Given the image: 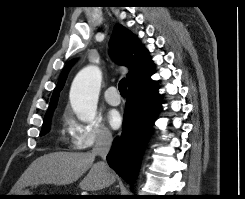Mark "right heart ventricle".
Instances as JSON below:
<instances>
[{
  "instance_id": "right-heart-ventricle-1",
  "label": "right heart ventricle",
  "mask_w": 245,
  "mask_h": 199,
  "mask_svg": "<svg viewBox=\"0 0 245 199\" xmlns=\"http://www.w3.org/2000/svg\"><path fill=\"white\" fill-rule=\"evenodd\" d=\"M68 123H69V119H68L67 117H65V118H64V124H65V125H68Z\"/></svg>"
}]
</instances>
